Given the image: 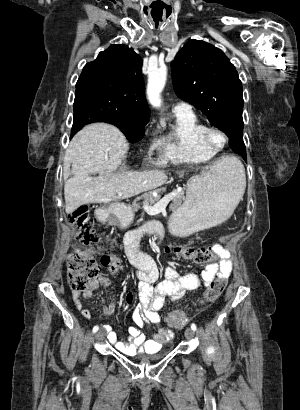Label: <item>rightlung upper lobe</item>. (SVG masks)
<instances>
[{"label": "right lung upper lobe", "mask_w": 300, "mask_h": 410, "mask_svg": "<svg viewBox=\"0 0 300 410\" xmlns=\"http://www.w3.org/2000/svg\"><path fill=\"white\" fill-rule=\"evenodd\" d=\"M141 67L142 59L133 49L126 45H112L84 66L76 88L98 90L118 117L149 120Z\"/></svg>", "instance_id": "1"}]
</instances>
